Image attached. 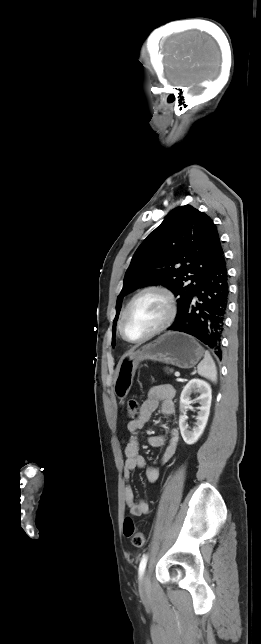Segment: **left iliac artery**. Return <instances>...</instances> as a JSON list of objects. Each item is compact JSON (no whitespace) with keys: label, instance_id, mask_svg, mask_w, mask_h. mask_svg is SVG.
I'll list each match as a JSON object with an SVG mask.
<instances>
[{"label":"left iliac artery","instance_id":"left-iliac-artery-1","mask_svg":"<svg viewBox=\"0 0 261 644\" xmlns=\"http://www.w3.org/2000/svg\"><path fill=\"white\" fill-rule=\"evenodd\" d=\"M147 559H148L147 555H144L142 557V559H141L140 564H139V571L138 572H139L140 577H142V575H143V573L145 571L146 564H147Z\"/></svg>","mask_w":261,"mask_h":644}]
</instances>
